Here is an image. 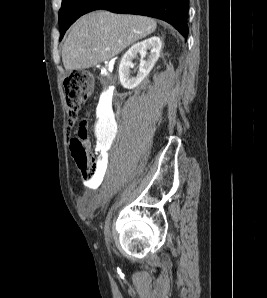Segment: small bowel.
Listing matches in <instances>:
<instances>
[{"mask_svg":"<svg viewBox=\"0 0 267 298\" xmlns=\"http://www.w3.org/2000/svg\"><path fill=\"white\" fill-rule=\"evenodd\" d=\"M101 200H102L101 195L84 194L79 197L78 204H79L81 211L84 214L89 215L95 210L96 206L101 202Z\"/></svg>","mask_w":267,"mask_h":298,"instance_id":"1","label":"small bowel"}]
</instances>
